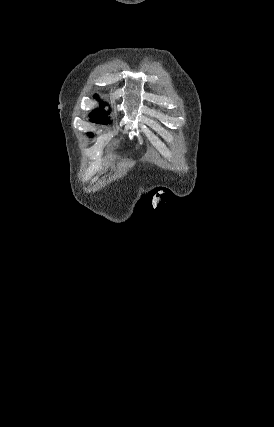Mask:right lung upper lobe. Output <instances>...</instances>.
I'll return each instance as SVG.
<instances>
[{"mask_svg": "<svg viewBox=\"0 0 274 427\" xmlns=\"http://www.w3.org/2000/svg\"><path fill=\"white\" fill-rule=\"evenodd\" d=\"M95 98H98V96H95ZM104 103H101V108L95 110L90 116L91 117H101V116H106L107 113L104 111Z\"/></svg>", "mask_w": 274, "mask_h": 427, "instance_id": "right-lung-upper-lobe-1", "label": "right lung upper lobe"}]
</instances>
